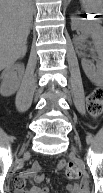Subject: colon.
<instances>
[{
  "label": "colon",
  "instance_id": "1",
  "mask_svg": "<svg viewBox=\"0 0 103 193\" xmlns=\"http://www.w3.org/2000/svg\"><path fill=\"white\" fill-rule=\"evenodd\" d=\"M88 111L93 117H99L103 110V89H94L87 98ZM68 178H77L80 168L72 162L62 161L60 164Z\"/></svg>",
  "mask_w": 103,
  "mask_h": 193
}]
</instances>
